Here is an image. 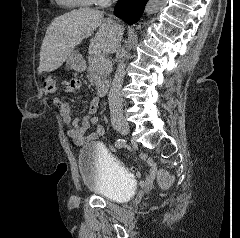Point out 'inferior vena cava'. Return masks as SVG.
Segmentation results:
<instances>
[{"instance_id":"obj_1","label":"inferior vena cava","mask_w":240,"mask_h":238,"mask_svg":"<svg viewBox=\"0 0 240 238\" xmlns=\"http://www.w3.org/2000/svg\"><path fill=\"white\" fill-rule=\"evenodd\" d=\"M125 73L123 55L120 56V63L117 67L112 86L109 91L108 100L112 120L120 119L123 115V105L121 98V87Z\"/></svg>"}]
</instances>
